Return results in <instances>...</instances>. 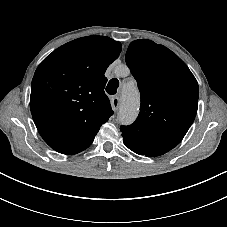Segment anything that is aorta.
<instances>
[{
	"mask_svg": "<svg viewBox=\"0 0 227 227\" xmlns=\"http://www.w3.org/2000/svg\"><path fill=\"white\" fill-rule=\"evenodd\" d=\"M139 92L134 86L123 88L122 105L119 109L118 118L122 124H131L138 115L139 109Z\"/></svg>",
	"mask_w": 227,
	"mask_h": 227,
	"instance_id": "1",
	"label": "aorta"
}]
</instances>
